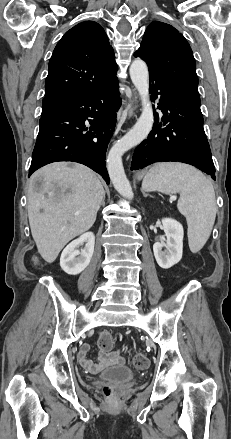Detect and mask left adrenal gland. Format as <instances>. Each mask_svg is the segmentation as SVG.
<instances>
[{"label":"left adrenal gland","instance_id":"a2214340","mask_svg":"<svg viewBox=\"0 0 231 439\" xmlns=\"http://www.w3.org/2000/svg\"><path fill=\"white\" fill-rule=\"evenodd\" d=\"M144 197H146L147 195L143 192Z\"/></svg>","mask_w":231,"mask_h":439}]
</instances>
